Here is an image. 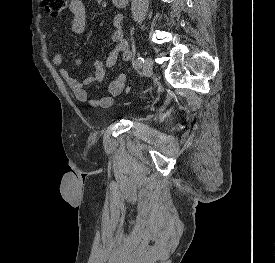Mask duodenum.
<instances>
[{"label": "duodenum", "instance_id": "duodenum-1", "mask_svg": "<svg viewBox=\"0 0 275 263\" xmlns=\"http://www.w3.org/2000/svg\"><path fill=\"white\" fill-rule=\"evenodd\" d=\"M116 7H124L128 0H111Z\"/></svg>", "mask_w": 275, "mask_h": 263}]
</instances>
